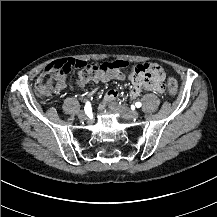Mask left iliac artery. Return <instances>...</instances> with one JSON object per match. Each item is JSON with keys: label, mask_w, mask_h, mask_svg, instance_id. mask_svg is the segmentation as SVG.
I'll list each match as a JSON object with an SVG mask.
<instances>
[{"label": "left iliac artery", "mask_w": 217, "mask_h": 217, "mask_svg": "<svg viewBox=\"0 0 217 217\" xmlns=\"http://www.w3.org/2000/svg\"><path fill=\"white\" fill-rule=\"evenodd\" d=\"M135 106H136L137 108H140V107L142 106V104H141L140 102H136V103H135Z\"/></svg>", "instance_id": "obj_1"}]
</instances>
